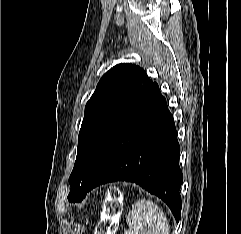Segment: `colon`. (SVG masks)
<instances>
[{
  "mask_svg": "<svg viewBox=\"0 0 241 234\" xmlns=\"http://www.w3.org/2000/svg\"><path fill=\"white\" fill-rule=\"evenodd\" d=\"M121 211V196L118 190L110 189L104 200L103 217L98 225L97 234H112L115 220Z\"/></svg>",
  "mask_w": 241,
  "mask_h": 234,
  "instance_id": "1",
  "label": "colon"
}]
</instances>
